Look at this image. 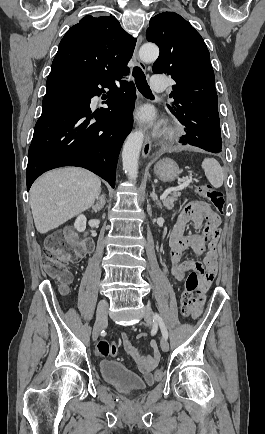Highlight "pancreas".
<instances>
[{
	"label": "pancreas",
	"mask_w": 265,
	"mask_h": 434,
	"mask_svg": "<svg viewBox=\"0 0 265 434\" xmlns=\"http://www.w3.org/2000/svg\"><path fill=\"white\" fill-rule=\"evenodd\" d=\"M188 188H192V186H188ZM178 200V194L177 192H174V194H171V196H168V198H165L163 200V204L167 210H172L174 208L175 204L174 202H177Z\"/></svg>",
	"instance_id": "pancreas-1"
}]
</instances>
